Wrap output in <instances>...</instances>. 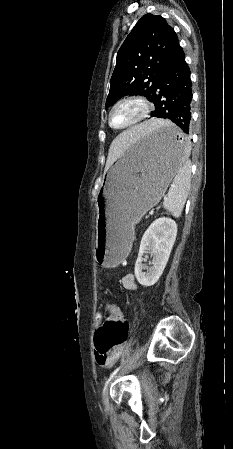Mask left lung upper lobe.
I'll use <instances>...</instances> for the list:
<instances>
[{"label": "left lung upper lobe", "instance_id": "1", "mask_svg": "<svg viewBox=\"0 0 233 449\" xmlns=\"http://www.w3.org/2000/svg\"><path fill=\"white\" fill-rule=\"evenodd\" d=\"M181 51L177 34L163 17L144 15L117 53L106 109L126 95L152 101L161 75Z\"/></svg>", "mask_w": 233, "mask_h": 449}]
</instances>
